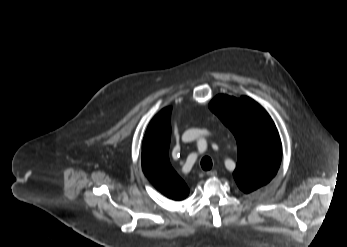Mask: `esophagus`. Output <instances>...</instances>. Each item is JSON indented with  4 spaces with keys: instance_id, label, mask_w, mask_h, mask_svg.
<instances>
[{
    "instance_id": "34e87169",
    "label": "esophagus",
    "mask_w": 347,
    "mask_h": 247,
    "mask_svg": "<svg viewBox=\"0 0 347 247\" xmlns=\"http://www.w3.org/2000/svg\"><path fill=\"white\" fill-rule=\"evenodd\" d=\"M206 174L210 177H213V176L217 175V171L216 170H210V171H207Z\"/></svg>"
}]
</instances>
